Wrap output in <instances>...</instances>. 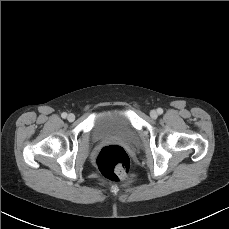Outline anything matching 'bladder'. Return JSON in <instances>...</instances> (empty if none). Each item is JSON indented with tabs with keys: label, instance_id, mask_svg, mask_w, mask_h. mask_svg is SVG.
Masks as SVG:
<instances>
[{
	"label": "bladder",
	"instance_id": "31cf9c89",
	"mask_svg": "<svg viewBox=\"0 0 229 229\" xmlns=\"http://www.w3.org/2000/svg\"><path fill=\"white\" fill-rule=\"evenodd\" d=\"M95 140L118 139L126 143H134L138 133L123 113L110 112L101 115L93 130Z\"/></svg>",
	"mask_w": 229,
	"mask_h": 229
}]
</instances>
